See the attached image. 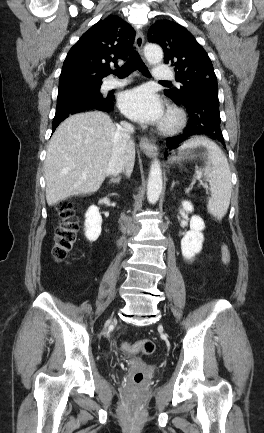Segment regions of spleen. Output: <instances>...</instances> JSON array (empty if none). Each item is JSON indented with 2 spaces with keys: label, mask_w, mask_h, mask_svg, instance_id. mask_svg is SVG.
Instances as JSON below:
<instances>
[{
  "label": "spleen",
  "mask_w": 264,
  "mask_h": 433,
  "mask_svg": "<svg viewBox=\"0 0 264 433\" xmlns=\"http://www.w3.org/2000/svg\"><path fill=\"white\" fill-rule=\"evenodd\" d=\"M196 147H204L207 151L205 167L201 171L209 182L211 190L208 211L216 219L221 220L227 213L232 192L231 172L227 158L215 142L203 136H195L185 141L178 149L180 157L186 150Z\"/></svg>",
  "instance_id": "3e777b00"
}]
</instances>
